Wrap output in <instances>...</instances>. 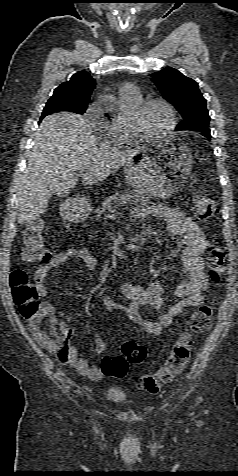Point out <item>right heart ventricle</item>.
Listing matches in <instances>:
<instances>
[{
  "label": "right heart ventricle",
  "instance_id": "obj_1",
  "mask_svg": "<svg viewBox=\"0 0 238 476\" xmlns=\"http://www.w3.org/2000/svg\"><path fill=\"white\" fill-rule=\"evenodd\" d=\"M123 112L116 115L107 126V137L116 145H123L134 141L128 129L127 117L129 112L142 100L141 95L129 96L119 94Z\"/></svg>",
  "mask_w": 238,
  "mask_h": 476
}]
</instances>
